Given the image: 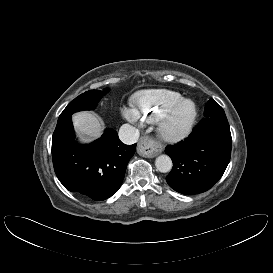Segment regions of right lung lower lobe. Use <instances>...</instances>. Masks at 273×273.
Here are the masks:
<instances>
[{
	"instance_id": "obj_1",
	"label": "right lung lower lobe",
	"mask_w": 273,
	"mask_h": 273,
	"mask_svg": "<svg viewBox=\"0 0 273 273\" xmlns=\"http://www.w3.org/2000/svg\"><path fill=\"white\" fill-rule=\"evenodd\" d=\"M135 150L136 144H123L113 129H106L91 144L75 143L71 117L57 122L52 137L53 165L60 182L67 190L96 201L118 191Z\"/></svg>"
}]
</instances>
